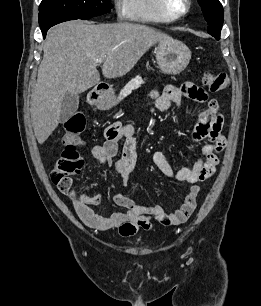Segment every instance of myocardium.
<instances>
[{
	"label": "myocardium",
	"mask_w": 261,
	"mask_h": 306,
	"mask_svg": "<svg viewBox=\"0 0 261 306\" xmlns=\"http://www.w3.org/2000/svg\"><path fill=\"white\" fill-rule=\"evenodd\" d=\"M161 11L171 20H177L187 15L191 9V0H182L184 7L181 11L175 12L169 5V0H158Z\"/></svg>",
	"instance_id": "f54148a6"
}]
</instances>
